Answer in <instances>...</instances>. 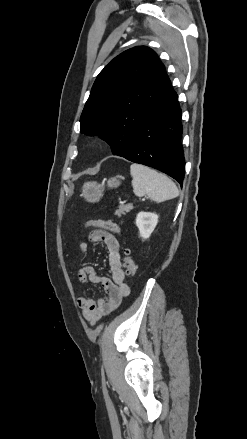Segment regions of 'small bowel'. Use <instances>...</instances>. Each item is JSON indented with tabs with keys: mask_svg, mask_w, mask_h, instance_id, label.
I'll return each instance as SVG.
<instances>
[{
	"mask_svg": "<svg viewBox=\"0 0 247 439\" xmlns=\"http://www.w3.org/2000/svg\"><path fill=\"white\" fill-rule=\"evenodd\" d=\"M89 240L104 243L107 249L111 273V278L99 277L91 266H84L78 272L80 282L101 283L106 292V297L98 301L85 297H80L77 300L83 317L93 325L103 316L116 309L120 305L121 300L128 296L130 289L125 282V273L121 261V247L118 239L106 230L97 229L89 233ZM77 251L80 255H86L88 253V244L81 242L78 245Z\"/></svg>",
	"mask_w": 247,
	"mask_h": 439,
	"instance_id": "small-bowel-1",
	"label": "small bowel"
}]
</instances>
